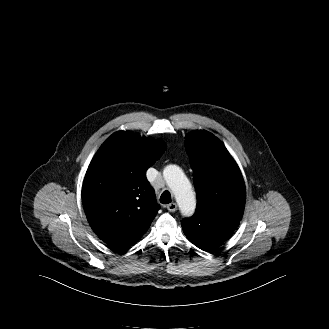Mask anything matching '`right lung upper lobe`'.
Wrapping results in <instances>:
<instances>
[{"mask_svg": "<svg viewBox=\"0 0 329 329\" xmlns=\"http://www.w3.org/2000/svg\"><path fill=\"white\" fill-rule=\"evenodd\" d=\"M164 149L158 140L119 131L93 157L82 186L83 206L91 228L112 250H128L158 211L146 170Z\"/></svg>", "mask_w": 329, "mask_h": 329, "instance_id": "obj_1", "label": "right lung upper lobe"}]
</instances>
